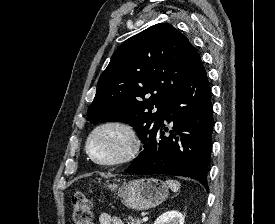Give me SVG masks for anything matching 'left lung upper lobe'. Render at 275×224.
<instances>
[{
	"label": "left lung upper lobe",
	"mask_w": 275,
	"mask_h": 224,
	"mask_svg": "<svg viewBox=\"0 0 275 224\" xmlns=\"http://www.w3.org/2000/svg\"><path fill=\"white\" fill-rule=\"evenodd\" d=\"M202 66L187 37L170 24L153 25L114 52L87 119L128 123L145 144L163 121L170 99Z\"/></svg>",
	"instance_id": "1"
}]
</instances>
